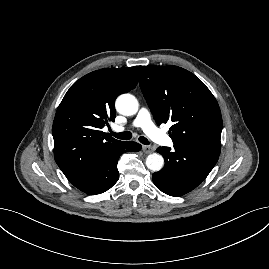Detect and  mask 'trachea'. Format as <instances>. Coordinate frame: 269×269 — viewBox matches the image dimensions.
<instances>
[{
	"mask_svg": "<svg viewBox=\"0 0 269 269\" xmlns=\"http://www.w3.org/2000/svg\"><path fill=\"white\" fill-rule=\"evenodd\" d=\"M111 135L118 138V139H122V140H129L132 137V133L129 131H125V132H121V133H115L111 131ZM138 140L145 145L149 144V141L147 138L141 136L138 138Z\"/></svg>",
	"mask_w": 269,
	"mask_h": 269,
	"instance_id": "3493384b",
	"label": "trachea"
}]
</instances>
